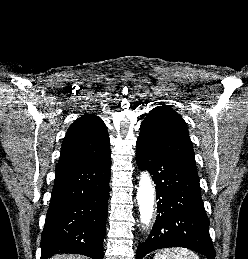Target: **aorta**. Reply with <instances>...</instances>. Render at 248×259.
I'll return each mask as SVG.
<instances>
[{
  "label": "aorta",
  "mask_w": 248,
  "mask_h": 259,
  "mask_svg": "<svg viewBox=\"0 0 248 259\" xmlns=\"http://www.w3.org/2000/svg\"><path fill=\"white\" fill-rule=\"evenodd\" d=\"M139 202L140 222L143 229L151 223L155 208V188L148 172H142L137 193Z\"/></svg>",
  "instance_id": "762f6f07"
}]
</instances>
